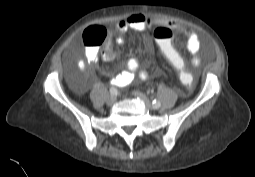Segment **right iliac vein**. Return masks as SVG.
Returning a JSON list of instances; mask_svg holds the SVG:
<instances>
[{"label": "right iliac vein", "mask_w": 255, "mask_h": 177, "mask_svg": "<svg viewBox=\"0 0 255 177\" xmlns=\"http://www.w3.org/2000/svg\"><path fill=\"white\" fill-rule=\"evenodd\" d=\"M116 101H117V97L115 95H111L107 98L106 103L107 105L112 106L115 104Z\"/></svg>", "instance_id": "63e3f726"}]
</instances>
